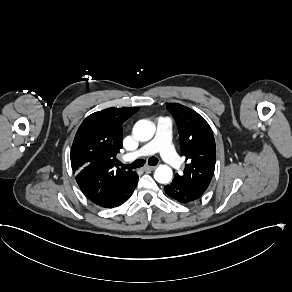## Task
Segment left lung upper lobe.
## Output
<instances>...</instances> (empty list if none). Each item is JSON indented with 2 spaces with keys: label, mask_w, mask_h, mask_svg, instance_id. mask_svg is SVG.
<instances>
[{
  "label": "left lung upper lobe",
  "mask_w": 292,
  "mask_h": 292,
  "mask_svg": "<svg viewBox=\"0 0 292 292\" xmlns=\"http://www.w3.org/2000/svg\"><path fill=\"white\" fill-rule=\"evenodd\" d=\"M167 109L173 115L180 137V152L187 162L182 174L173 181L204 193L214 174L216 146L213 132L206 120L192 109L170 103Z\"/></svg>",
  "instance_id": "1"
}]
</instances>
